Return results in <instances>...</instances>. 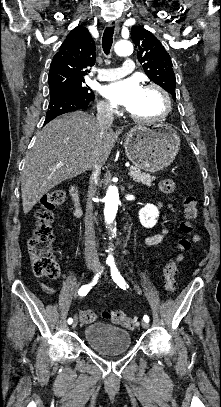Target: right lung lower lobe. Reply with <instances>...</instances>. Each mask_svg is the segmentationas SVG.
<instances>
[{
	"instance_id": "1",
	"label": "right lung lower lobe",
	"mask_w": 221,
	"mask_h": 407,
	"mask_svg": "<svg viewBox=\"0 0 221 407\" xmlns=\"http://www.w3.org/2000/svg\"><path fill=\"white\" fill-rule=\"evenodd\" d=\"M93 100L94 98L91 99L76 96H64L53 99L49 103L44 124L48 123L61 114L76 111L79 109H85Z\"/></svg>"
}]
</instances>
